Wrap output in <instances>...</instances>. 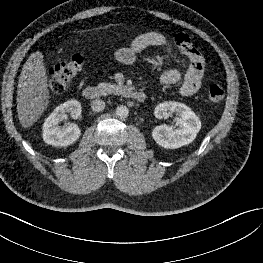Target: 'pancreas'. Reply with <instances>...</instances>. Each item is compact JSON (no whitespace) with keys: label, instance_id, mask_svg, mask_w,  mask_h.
Instances as JSON below:
<instances>
[{"label":"pancreas","instance_id":"1","mask_svg":"<svg viewBox=\"0 0 263 263\" xmlns=\"http://www.w3.org/2000/svg\"><path fill=\"white\" fill-rule=\"evenodd\" d=\"M98 89L101 95H108V94H118L122 89V87L110 83H99Z\"/></svg>","mask_w":263,"mask_h":263}]
</instances>
